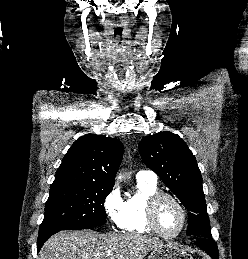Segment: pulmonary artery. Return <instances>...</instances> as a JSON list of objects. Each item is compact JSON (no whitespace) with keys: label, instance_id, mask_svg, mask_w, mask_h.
I'll list each match as a JSON object with an SVG mask.
<instances>
[{"label":"pulmonary artery","instance_id":"pulmonary-artery-1","mask_svg":"<svg viewBox=\"0 0 248 259\" xmlns=\"http://www.w3.org/2000/svg\"><path fill=\"white\" fill-rule=\"evenodd\" d=\"M137 179H144L151 182H157V175L152 170H140L137 175Z\"/></svg>","mask_w":248,"mask_h":259}]
</instances>
